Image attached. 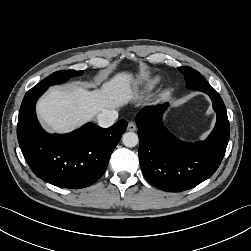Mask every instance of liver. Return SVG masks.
Returning a JSON list of instances; mask_svg holds the SVG:
<instances>
[{"label": "liver", "instance_id": "obj_1", "mask_svg": "<svg viewBox=\"0 0 251 251\" xmlns=\"http://www.w3.org/2000/svg\"><path fill=\"white\" fill-rule=\"evenodd\" d=\"M132 73L120 72L101 89L88 91L81 85L68 89L51 88L37 103V113L53 132L66 133L104 110L126 105L138 98Z\"/></svg>", "mask_w": 251, "mask_h": 251}]
</instances>
